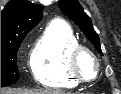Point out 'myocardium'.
Returning <instances> with one entry per match:
<instances>
[{
  "mask_svg": "<svg viewBox=\"0 0 121 94\" xmlns=\"http://www.w3.org/2000/svg\"><path fill=\"white\" fill-rule=\"evenodd\" d=\"M83 55L90 56L92 60L94 61L95 63V76L94 77L84 76L82 72L80 71L79 62ZM68 68H69L71 75L76 80V82L85 83V82L94 81L96 79V77L101 71V64H100L99 59L97 58V56L91 49H89L88 47L84 45L79 44L76 47H74L69 54Z\"/></svg>",
  "mask_w": 121,
  "mask_h": 94,
  "instance_id": "obj_1",
  "label": "myocardium"
}]
</instances>
